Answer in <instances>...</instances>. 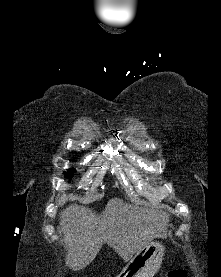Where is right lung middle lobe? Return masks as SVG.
Instances as JSON below:
<instances>
[{"label":"right lung middle lobe","instance_id":"obj_1","mask_svg":"<svg viewBox=\"0 0 221 277\" xmlns=\"http://www.w3.org/2000/svg\"><path fill=\"white\" fill-rule=\"evenodd\" d=\"M74 172H75V170H73V169L71 168V169L68 170L67 173H64V174H65V176H66L67 178H72L73 175H74Z\"/></svg>","mask_w":221,"mask_h":277}]
</instances>
